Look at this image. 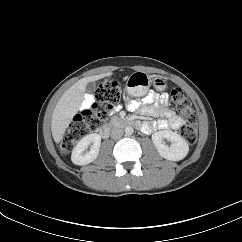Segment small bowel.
<instances>
[{
	"mask_svg": "<svg viewBox=\"0 0 242 242\" xmlns=\"http://www.w3.org/2000/svg\"><path fill=\"white\" fill-rule=\"evenodd\" d=\"M169 95L167 93L156 94L154 92L148 93L141 101L131 100L127 107L130 111H138L144 115H154L161 117L157 122L143 123L140 125L141 129L149 133L155 129H179L184 120L178 116L173 110L167 108ZM92 102V97L86 95L83 101V107L89 106Z\"/></svg>",
	"mask_w": 242,
	"mask_h": 242,
	"instance_id": "obj_1",
	"label": "small bowel"
}]
</instances>
